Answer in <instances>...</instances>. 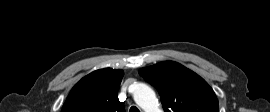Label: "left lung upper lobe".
<instances>
[{
	"label": "left lung upper lobe",
	"instance_id": "5c2ea615",
	"mask_svg": "<svg viewBox=\"0 0 270 112\" xmlns=\"http://www.w3.org/2000/svg\"><path fill=\"white\" fill-rule=\"evenodd\" d=\"M139 73L158 90L165 112L219 111L217 97L208 83L177 62H160Z\"/></svg>",
	"mask_w": 270,
	"mask_h": 112
}]
</instances>
